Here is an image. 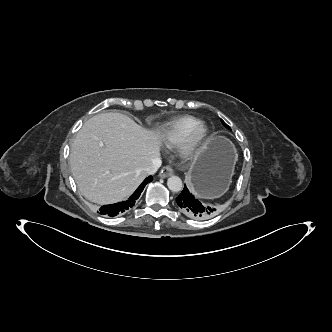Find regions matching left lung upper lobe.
<instances>
[{
	"label": "left lung upper lobe",
	"mask_w": 332,
	"mask_h": 332,
	"mask_svg": "<svg viewBox=\"0 0 332 332\" xmlns=\"http://www.w3.org/2000/svg\"><path fill=\"white\" fill-rule=\"evenodd\" d=\"M221 122L226 128L230 129V127L223 120H221Z\"/></svg>",
	"instance_id": "left-lung-upper-lobe-1"
}]
</instances>
